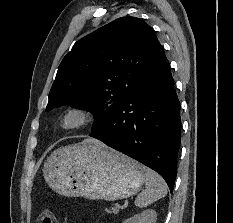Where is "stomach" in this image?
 <instances>
[{"mask_svg": "<svg viewBox=\"0 0 233 223\" xmlns=\"http://www.w3.org/2000/svg\"><path fill=\"white\" fill-rule=\"evenodd\" d=\"M44 177L60 195L86 199H124L141 189L145 167L97 141L63 145L44 163Z\"/></svg>", "mask_w": 233, "mask_h": 223, "instance_id": "1", "label": "stomach"}]
</instances>
